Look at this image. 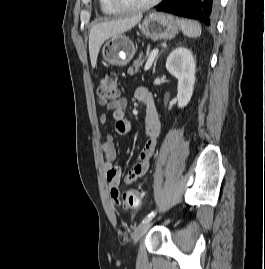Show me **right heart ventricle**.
<instances>
[{"label":"right heart ventricle","mask_w":265,"mask_h":269,"mask_svg":"<svg viewBox=\"0 0 265 269\" xmlns=\"http://www.w3.org/2000/svg\"><path fill=\"white\" fill-rule=\"evenodd\" d=\"M99 6L103 13L108 15H117L120 13L111 3L110 0H99Z\"/></svg>","instance_id":"e07e8e85"}]
</instances>
